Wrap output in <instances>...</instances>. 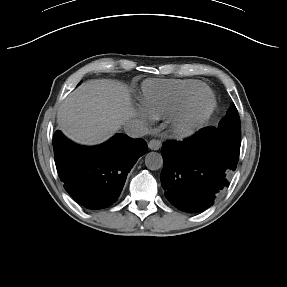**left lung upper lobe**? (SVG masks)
Listing matches in <instances>:
<instances>
[{
  "label": "left lung upper lobe",
  "mask_w": 287,
  "mask_h": 287,
  "mask_svg": "<svg viewBox=\"0 0 287 287\" xmlns=\"http://www.w3.org/2000/svg\"><path fill=\"white\" fill-rule=\"evenodd\" d=\"M218 129L232 135H241L240 118L234 103L231 104L226 116L219 122Z\"/></svg>",
  "instance_id": "1"
}]
</instances>
